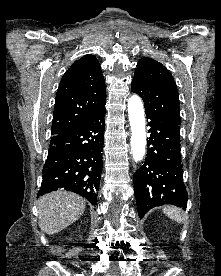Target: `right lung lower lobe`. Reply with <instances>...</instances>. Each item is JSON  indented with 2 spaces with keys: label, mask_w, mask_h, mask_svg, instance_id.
<instances>
[{
  "label": "right lung lower lobe",
  "mask_w": 221,
  "mask_h": 276,
  "mask_svg": "<svg viewBox=\"0 0 221 276\" xmlns=\"http://www.w3.org/2000/svg\"><path fill=\"white\" fill-rule=\"evenodd\" d=\"M105 106L78 127L50 140L38 197L64 188L96 205L102 173Z\"/></svg>",
  "instance_id": "obj_1"
}]
</instances>
